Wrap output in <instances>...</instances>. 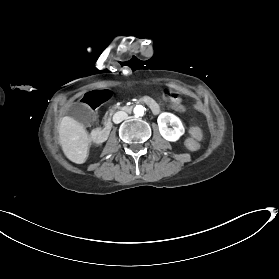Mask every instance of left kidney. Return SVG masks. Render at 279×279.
<instances>
[{
  "label": "left kidney",
  "mask_w": 279,
  "mask_h": 279,
  "mask_svg": "<svg viewBox=\"0 0 279 279\" xmlns=\"http://www.w3.org/2000/svg\"><path fill=\"white\" fill-rule=\"evenodd\" d=\"M157 122L160 134L168 141L178 140L185 132L181 120L172 113H161ZM168 124H170L172 128H169Z\"/></svg>",
  "instance_id": "5707ae66"
}]
</instances>
